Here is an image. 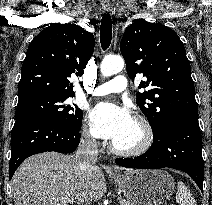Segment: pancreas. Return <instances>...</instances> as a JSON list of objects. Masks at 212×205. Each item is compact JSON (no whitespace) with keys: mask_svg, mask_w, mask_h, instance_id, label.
I'll return each instance as SVG.
<instances>
[{"mask_svg":"<svg viewBox=\"0 0 212 205\" xmlns=\"http://www.w3.org/2000/svg\"><path fill=\"white\" fill-rule=\"evenodd\" d=\"M119 203H120V205H133L132 203H130L122 198H119Z\"/></svg>","mask_w":212,"mask_h":205,"instance_id":"pancreas-1","label":"pancreas"}]
</instances>
